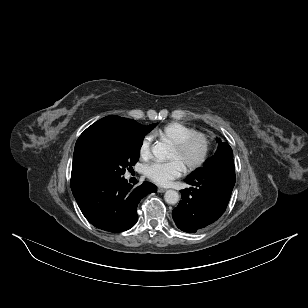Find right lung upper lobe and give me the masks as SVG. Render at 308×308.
I'll return each instance as SVG.
<instances>
[{
    "label": "right lung upper lobe",
    "mask_w": 308,
    "mask_h": 308,
    "mask_svg": "<svg viewBox=\"0 0 308 308\" xmlns=\"http://www.w3.org/2000/svg\"><path fill=\"white\" fill-rule=\"evenodd\" d=\"M140 126L135 120L111 115L88 127L75 145L71 189L75 190L95 179L92 161L94 151L100 144L116 137L133 135Z\"/></svg>",
    "instance_id": "cb5924a9"
}]
</instances>
